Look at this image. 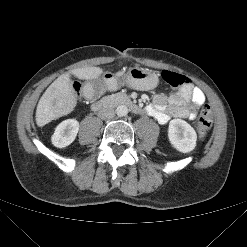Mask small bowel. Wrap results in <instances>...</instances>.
<instances>
[{
    "label": "small bowel",
    "instance_id": "obj_1",
    "mask_svg": "<svg viewBox=\"0 0 247 247\" xmlns=\"http://www.w3.org/2000/svg\"><path fill=\"white\" fill-rule=\"evenodd\" d=\"M86 95H91L90 88L86 89ZM204 102L203 92L192 85H188L169 96L155 95L153 103L145 108V112L154 117L158 123L165 125L172 118L194 119L197 116V109ZM189 103H191V108L188 107Z\"/></svg>",
    "mask_w": 247,
    "mask_h": 247
}]
</instances>
